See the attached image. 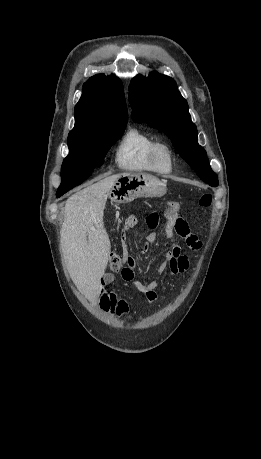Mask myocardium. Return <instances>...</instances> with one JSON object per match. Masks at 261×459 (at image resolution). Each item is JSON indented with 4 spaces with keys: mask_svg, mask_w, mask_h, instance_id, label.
I'll list each match as a JSON object with an SVG mask.
<instances>
[{
    "mask_svg": "<svg viewBox=\"0 0 261 459\" xmlns=\"http://www.w3.org/2000/svg\"><path fill=\"white\" fill-rule=\"evenodd\" d=\"M161 153H166L170 160V167L168 170H163L159 166V156ZM151 162L155 172L161 175H167L174 171L176 164V156L173 148L165 141H157L151 150Z\"/></svg>",
    "mask_w": 261,
    "mask_h": 459,
    "instance_id": "obj_1",
    "label": "myocardium"
}]
</instances>
